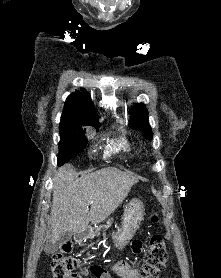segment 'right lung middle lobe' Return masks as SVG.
Segmentation results:
<instances>
[{
    "instance_id": "1",
    "label": "right lung middle lobe",
    "mask_w": 221,
    "mask_h": 278,
    "mask_svg": "<svg viewBox=\"0 0 221 278\" xmlns=\"http://www.w3.org/2000/svg\"><path fill=\"white\" fill-rule=\"evenodd\" d=\"M84 126H93L98 129L100 125L61 120L58 166L77 156L86 147L87 137L85 136L86 129L83 128Z\"/></svg>"
}]
</instances>
